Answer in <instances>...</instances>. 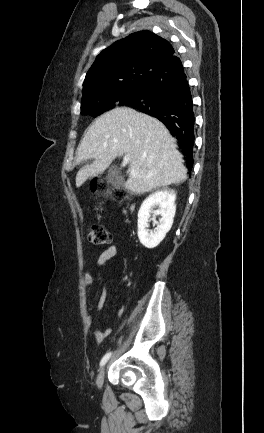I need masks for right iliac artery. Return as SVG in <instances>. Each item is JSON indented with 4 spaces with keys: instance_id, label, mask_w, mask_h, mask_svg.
Segmentation results:
<instances>
[{
    "instance_id": "82829eb1",
    "label": "right iliac artery",
    "mask_w": 264,
    "mask_h": 433,
    "mask_svg": "<svg viewBox=\"0 0 264 433\" xmlns=\"http://www.w3.org/2000/svg\"><path fill=\"white\" fill-rule=\"evenodd\" d=\"M111 352L107 353L104 355V357L102 358L101 362H100V366H103L106 364V362L109 360V358L111 357Z\"/></svg>"
}]
</instances>
